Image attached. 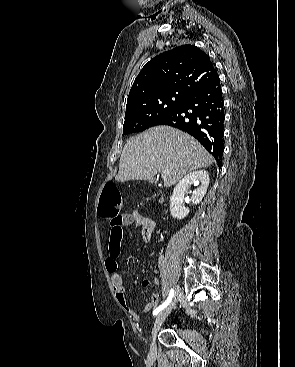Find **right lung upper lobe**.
Listing matches in <instances>:
<instances>
[{"label": "right lung upper lobe", "mask_w": 295, "mask_h": 367, "mask_svg": "<svg viewBox=\"0 0 295 367\" xmlns=\"http://www.w3.org/2000/svg\"><path fill=\"white\" fill-rule=\"evenodd\" d=\"M218 78L209 56L194 45H182L151 59L136 77L126 109L135 101L167 92L190 95Z\"/></svg>", "instance_id": "cb5924a9"}]
</instances>
